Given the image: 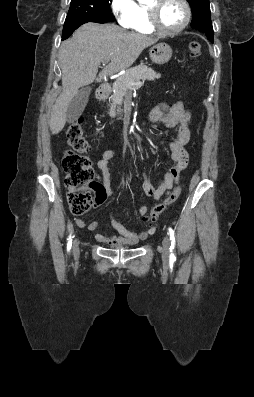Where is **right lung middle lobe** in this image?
Wrapping results in <instances>:
<instances>
[{
    "mask_svg": "<svg viewBox=\"0 0 254 397\" xmlns=\"http://www.w3.org/2000/svg\"><path fill=\"white\" fill-rule=\"evenodd\" d=\"M110 2L112 0H71L65 22L89 20L105 23L112 21Z\"/></svg>",
    "mask_w": 254,
    "mask_h": 397,
    "instance_id": "1",
    "label": "right lung middle lobe"
}]
</instances>
